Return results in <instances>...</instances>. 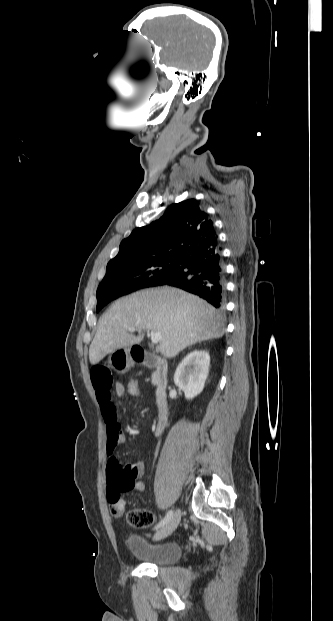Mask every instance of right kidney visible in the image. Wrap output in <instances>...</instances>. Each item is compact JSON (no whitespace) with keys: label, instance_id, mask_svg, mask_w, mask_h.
I'll return each instance as SVG.
<instances>
[{"label":"right kidney","instance_id":"ca27d5eb","mask_svg":"<svg viewBox=\"0 0 333 621\" xmlns=\"http://www.w3.org/2000/svg\"><path fill=\"white\" fill-rule=\"evenodd\" d=\"M209 365L210 356L204 350L190 352L178 365L174 382L184 391L187 399H192L202 392L208 376Z\"/></svg>","mask_w":333,"mask_h":621}]
</instances>
